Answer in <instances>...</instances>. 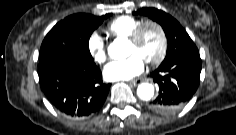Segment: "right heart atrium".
Returning <instances> with one entry per match:
<instances>
[{
    "instance_id": "d8ad5b80",
    "label": "right heart atrium",
    "mask_w": 236,
    "mask_h": 135,
    "mask_svg": "<svg viewBox=\"0 0 236 135\" xmlns=\"http://www.w3.org/2000/svg\"><path fill=\"white\" fill-rule=\"evenodd\" d=\"M88 51L93 60L102 64L107 57V42L98 32H93L87 41Z\"/></svg>"
}]
</instances>
